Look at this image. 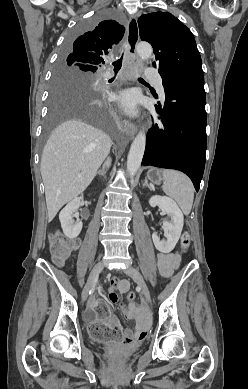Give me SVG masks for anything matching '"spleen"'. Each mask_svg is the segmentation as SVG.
<instances>
[{"label": "spleen", "mask_w": 248, "mask_h": 389, "mask_svg": "<svg viewBox=\"0 0 248 389\" xmlns=\"http://www.w3.org/2000/svg\"><path fill=\"white\" fill-rule=\"evenodd\" d=\"M162 176L164 192L177 202L185 215H188L194 200V187L191 180L184 173L171 169L163 170Z\"/></svg>", "instance_id": "1"}]
</instances>
